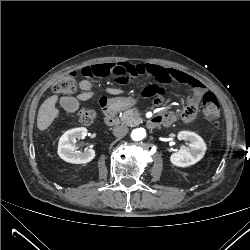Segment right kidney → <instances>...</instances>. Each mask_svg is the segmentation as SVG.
<instances>
[{
    "mask_svg": "<svg viewBox=\"0 0 250 250\" xmlns=\"http://www.w3.org/2000/svg\"><path fill=\"white\" fill-rule=\"evenodd\" d=\"M87 136L85 127L74 128L65 132L58 145V155L66 162L72 164H86L94 159L95 151L88 149L85 152L76 153V140L84 139Z\"/></svg>",
    "mask_w": 250,
    "mask_h": 250,
    "instance_id": "right-kidney-1",
    "label": "right kidney"
}]
</instances>
